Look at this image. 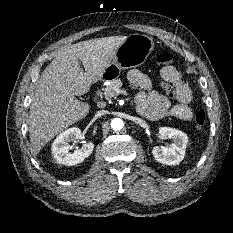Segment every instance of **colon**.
<instances>
[{
    "label": "colon",
    "mask_w": 233,
    "mask_h": 233,
    "mask_svg": "<svg viewBox=\"0 0 233 233\" xmlns=\"http://www.w3.org/2000/svg\"><path fill=\"white\" fill-rule=\"evenodd\" d=\"M160 65V77L165 86H174L180 81L181 75L179 71L172 65V56L169 53H161L156 58ZM170 97H176V92L173 88L167 89ZM194 121L197 129L204 128L207 115L205 111L200 110L194 116Z\"/></svg>",
    "instance_id": "obj_1"
}]
</instances>
